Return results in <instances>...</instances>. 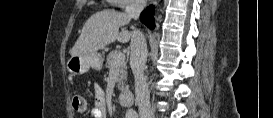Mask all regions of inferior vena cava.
<instances>
[{"instance_id":"inferior-vena-cava-1","label":"inferior vena cava","mask_w":273,"mask_h":118,"mask_svg":"<svg viewBox=\"0 0 273 118\" xmlns=\"http://www.w3.org/2000/svg\"><path fill=\"white\" fill-rule=\"evenodd\" d=\"M144 7V0H135L126 8V12L129 17L138 19ZM130 47V66L135 78V102L138 105L140 117L149 118L151 115L150 94L144 76L148 50L145 37L140 30L134 28L131 34Z\"/></svg>"}]
</instances>
